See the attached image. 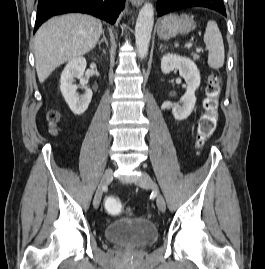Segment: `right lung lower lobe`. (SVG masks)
I'll return each mask as SVG.
<instances>
[{"mask_svg":"<svg viewBox=\"0 0 265 269\" xmlns=\"http://www.w3.org/2000/svg\"><path fill=\"white\" fill-rule=\"evenodd\" d=\"M125 0H39L35 29L54 15L80 12L87 13L114 24Z\"/></svg>","mask_w":265,"mask_h":269,"instance_id":"1","label":"right lung lower lobe"}]
</instances>
